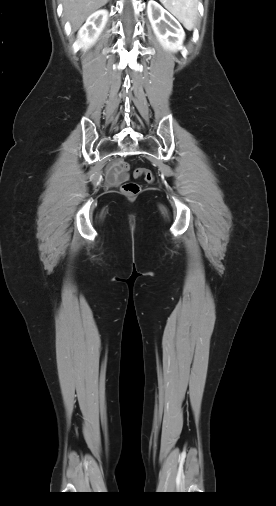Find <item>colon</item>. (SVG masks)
<instances>
[{"label": "colon", "mask_w": 276, "mask_h": 506, "mask_svg": "<svg viewBox=\"0 0 276 506\" xmlns=\"http://www.w3.org/2000/svg\"><path fill=\"white\" fill-rule=\"evenodd\" d=\"M115 167L121 172H127L130 168L129 164L126 162L116 163ZM134 176L136 178L144 177V179L149 183L154 181V174L152 171L145 168L136 169ZM121 191L128 197H135L140 193V186L135 182H126L122 185Z\"/></svg>", "instance_id": "obj_1"}]
</instances>
